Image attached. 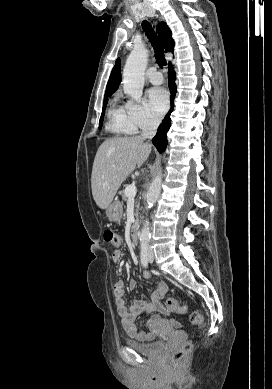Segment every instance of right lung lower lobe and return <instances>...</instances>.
Returning <instances> with one entry per match:
<instances>
[{
  "label": "right lung lower lobe",
  "mask_w": 272,
  "mask_h": 389,
  "mask_svg": "<svg viewBox=\"0 0 272 389\" xmlns=\"http://www.w3.org/2000/svg\"><path fill=\"white\" fill-rule=\"evenodd\" d=\"M175 79H176L175 72H174L173 68L171 66H169L168 80H169V88H170V93H171V98H170L171 109L169 110V112L165 116L163 122L161 123V125L158 128V131H157L156 135L152 139L153 144L155 145V147L157 148V150L160 153L164 152L165 149H166V146H167V136H166V133L168 132V130H169L170 126H171L170 113L173 110V107H174L173 100H174L175 94L177 92L176 84H175Z\"/></svg>",
  "instance_id": "obj_1"
}]
</instances>
